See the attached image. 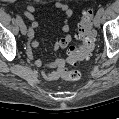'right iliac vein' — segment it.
<instances>
[{"label":"right iliac vein","mask_w":119,"mask_h":119,"mask_svg":"<svg viewBox=\"0 0 119 119\" xmlns=\"http://www.w3.org/2000/svg\"><path fill=\"white\" fill-rule=\"evenodd\" d=\"M19 26H20V31H21V33H22L23 35H26V34H27V27H26L25 23L22 22Z\"/></svg>","instance_id":"right-iliac-vein-1"}]
</instances>
